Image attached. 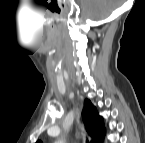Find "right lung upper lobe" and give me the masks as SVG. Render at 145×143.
<instances>
[{
	"label": "right lung upper lobe",
	"mask_w": 145,
	"mask_h": 143,
	"mask_svg": "<svg viewBox=\"0 0 145 143\" xmlns=\"http://www.w3.org/2000/svg\"><path fill=\"white\" fill-rule=\"evenodd\" d=\"M82 120L88 135L92 138L91 143L101 142L105 135L103 118L98 115L95 106L88 99L84 102Z\"/></svg>",
	"instance_id": "obj_1"
}]
</instances>
